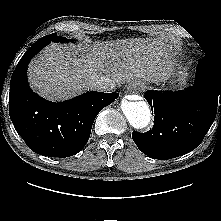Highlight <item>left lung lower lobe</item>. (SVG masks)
<instances>
[{
  "label": "left lung lower lobe",
  "instance_id": "obj_1",
  "mask_svg": "<svg viewBox=\"0 0 221 221\" xmlns=\"http://www.w3.org/2000/svg\"><path fill=\"white\" fill-rule=\"evenodd\" d=\"M154 108V125L146 133L134 131L137 147L154 159H171L194 150L204 139L221 103V69L204 58L198 62L194 85L187 90L145 92Z\"/></svg>",
  "mask_w": 221,
  "mask_h": 221
}]
</instances>
